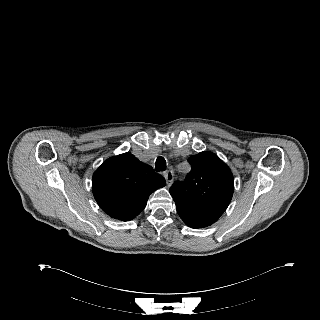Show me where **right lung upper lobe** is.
Instances as JSON below:
<instances>
[{"mask_svg":"<svg viewBox=\"0 0 320 320\" xmlns=\"http://www.w3.org/2000/svg\"><path fill=\"white\" fill-rule=\"evenodd\" d=\"M165 185L164 177L129 152L104 161L92 180L99 206L122 221L135 218L145 208L149 195Z\"/></svg>","mask_w":320,"mask_h":320,"instance_id":"right-lung-upper-lobe-1","label":"right lung upper lobe"}]
</instances>
